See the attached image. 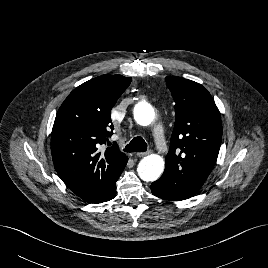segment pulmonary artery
I'll return each instance as SVG.
<instances>
[{
    "label": "pulmonary artery",
    "mask_w": 268,
    "mask_h": 268,
    "mask_svg": "<svg viewBox=\"0 0 268 268\" xmlns=\"http://www.w3.org/2000/svg\"><path fill=\"white\" fill-rule=\"evenodd\" d=\"M152 138L157 146H159L162 151L167 150V144L165 141L164 133L160 129H155L151 132Z\"/></svg>",
    "instance_id": "1"
}]
</instances>
